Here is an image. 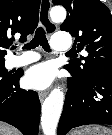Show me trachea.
Instances as JSON below:
<instances>
[{
  "instance_id": "obj_1",
  "label": "trachea",
  "mask_w": 112,
  "mask_h": 135,
  "mask_svg": "<svg viewBox=\"0 0 112 135\" xmlns=\"http://www.w3.org/2000/svg\"><path fill=\"white\" fill-rule=\"evenodd\" d=\"M46 6H47L46 1H43L42 9ZM39 45H41L45 51L47 52L51 51L50 46L48 44V40L45 35V31L42 27L37 28L34 38L29 43L24 45V49L26 50L35 49ZM15 48L16 46L12 47V49H15Z\"/></svg>"
}]
</instances>
